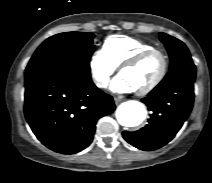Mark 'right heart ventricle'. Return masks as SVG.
Returning <instances> with one entry per match:
<instances>
[{"instance_id":"e07e8e85","label":"right heart ventricle","mask_w":212,"mask_h":183,"mask_svg":"<svg viewBox=\"0 0 212 183\" xmlns=\"http://www.w3.org/2000/svg\"><path fill=\"white\" fill-rule=\"evenodd\" d=\"M155 48L151 43L122 35L108 37L103 43V50L116 67L137 54Z\"/></svg>"}]
</instances>
